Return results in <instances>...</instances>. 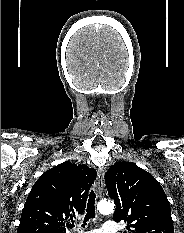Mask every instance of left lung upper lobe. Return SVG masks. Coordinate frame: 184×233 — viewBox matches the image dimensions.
<instances>
[{
  "instance_id": "5c2ea615",
  "label": "left lung upper lobe",
  "mask_w": 184,
  "mask_h": 233,
  "mask_svg": "<svg viewBox=\"0 0 184 233\" xmlns=\"http://www.w3.org/2000/svg\"><path fill=\"white\" fill-rule=\"evenodd\" d=\"M105 182L116 204L114 221L128 223L124 233H174L169 201L150 173L132 162H116Z\"/></svg>"
}]
</instances>
